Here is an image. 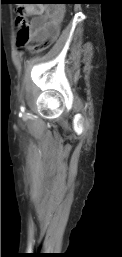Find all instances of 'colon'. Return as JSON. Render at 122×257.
<instances>
[{"instance_id":"obj_1","label":"colon","mask_w":122,"mask_h":257,"mask_svg":"<svg viewBox=\"0 0 122 257\" xmlns=\"http://www.w3.org/2000/svg\"><path fill=\"white\" fill-rule=\"evenodd\" d=\"M16 24L19 27V33L17 36V44L18 46L22 47L27 43L28 40V22L25 18L24 12L22 9L18 10V14L16 16ZM56 29H61L62 25L61 24H56L55 25ZM59 35H62V30H53V34H51V38L45 39L39 43H37L33 47L34 52H42L46 50L53 42V39H58Z\"/></svg>"}]
</instances>
